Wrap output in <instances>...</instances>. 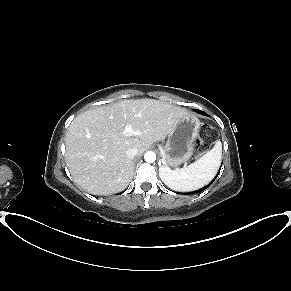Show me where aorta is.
I'll return each instance as SVG.
<instances>
[{
	"mask_svg": "<svg viewBox=\"0 0 291 291\" xmlns=\"http://www.w3.org/2000/svg\"><path fill=\"white\" fill-rule=\"evenodd\" d=\"M144 159L148 163H153L156 160V154L152 151H148L145 153Z\"/></svg>",
	"mask_w": 291,
	"mask_h": 291,
	"instance_id": "obj_1",
	"label": "aorta"
}]
</instances>
